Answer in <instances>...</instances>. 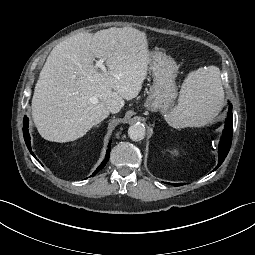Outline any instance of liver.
<instances>
[{"mask_svg": "<svg viewBox=\"0 0 255 255\" xmlns=\"http://www.w3.org/2000/svg\"><path fill=\"white\" fill-rule=\"evenodd\" d=\"M145 32L112 27L79 33L57 44L49 54L32 99V118L49 141L69 142L83 137L109 115L105 102L139 94L150 63ZM104 59L107 72L93 61Z\"/></svg>", "mask_w": 255, "mask_h": 255, "instance_id": "liver-1", "label": "liver"}]
</instances>
